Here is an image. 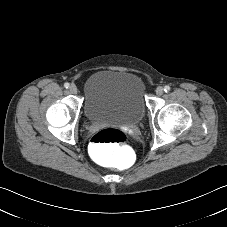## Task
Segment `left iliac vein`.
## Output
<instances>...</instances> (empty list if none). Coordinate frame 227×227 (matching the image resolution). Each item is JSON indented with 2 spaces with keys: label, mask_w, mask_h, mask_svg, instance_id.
<instances>
[{
  "label": "left iliac vein",
  "mask_w": 227,
  "mask_h": 227,
  "mask_svg": "<svg viewBox=\"0 0 227 227\" xmlns=\"http://www.w3.org/2000/svg\"><path fill=\"white\" fill-rule=\"evenodd\" d=\"M163 93H164V89L161 86L156 88V94L158 96H161Z\"/></svg>",
  "instance_id": "obj_1"
}]
</instances>
